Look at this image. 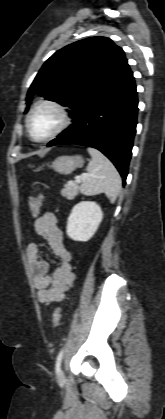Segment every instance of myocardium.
I'll use <instances>...</instances> for the list:
<instances>
[{"label": "myocardium", "mask_w": 165, "mask_h": 419, "mask_svg": "<svg viewBox=\"0 0 165 419\" xmlns=\"http://www.w3.org/2000/svg\"><path fill=\"white\" fill-rule=\"evenodd\" d=\"M41 107H50L52 109H54L58 115H59V123L57 125V127L54 129L53 132H51L48 136L42 138V139H37L33 136L32 131H31V118L34 114V112ZM70 123V116L69 113L67 111V109L65 108V106H63L61 103H59L58 101L55 100H49V99H45V100H40L37 101L29 110L28 115L26 117V129H27V133L30 137V139L36 143H45L48 142L54 138H56L58 135H60L69 125Z\"/></svg>", "instance_id": "1"}]
</instances>
